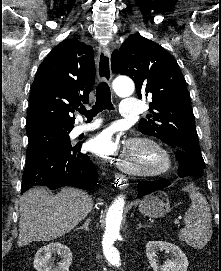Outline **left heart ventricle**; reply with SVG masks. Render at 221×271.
I'll return each instance as SVG.
<instances>
[{"instance_id":"left-heart-ventricle-1","label":"left heart ventricle","mask_w":221,"mask_h":271,"mask_svg":"<svg viewBox=\"0 0 221 271\" xmlns=\"http://www.w3.org/2000/svg\"><path fill=\"white\" fill-rule=\"evenodd\" d=\"M130 164H143V159H130Z\"/></svg>"}]
</instances>
